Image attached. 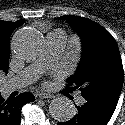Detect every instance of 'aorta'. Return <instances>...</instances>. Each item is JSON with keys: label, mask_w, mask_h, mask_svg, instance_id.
I'll use <instances>...</instances> for the list:
<instances>
[{"label": "aorta", "mask_w": 125, "mask_h": 125, "mask_svg": "<svg viewBox=\"0 0 125 125\" xmlns=\"http://www.w3.org/2000/svg\"><path fill=\"white\" fill-rule=\"evenodd\" d=\"M42 44L41 34L33 29L23 28L14 37L16 53L24 59L36 57L40 53ZM49 113L55 120L63 122L73 118L76 110L67 97L61 96L51 101Z\"/></svg>", "instance_id": "1"}]
</instances>
